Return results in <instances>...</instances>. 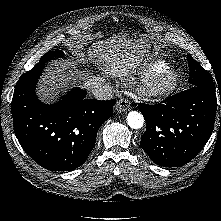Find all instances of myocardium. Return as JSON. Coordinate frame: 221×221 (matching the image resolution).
Listing matches in <instances>:
<instances>
[{"label": "myocardium", "mask_w": 221, "mask_h": 221, "mask_svg": "<svg viewBox=\"0 0 221 221\" xmlns=\"http://www.w3.org/2000/svg\"><path fill=\"white\" fill-rule=\"evenodd\" d=\"M180 85V77L174 70L167 69L151 74L137 88V94L150 99H162L172 95Z\"/></svg>", "instance_id": "f54148a6"}]
</instances>
